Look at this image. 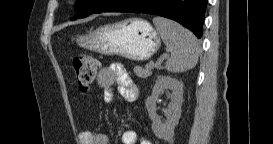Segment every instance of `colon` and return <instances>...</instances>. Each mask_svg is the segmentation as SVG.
I'll return each instance as SVG.
<instances>
[{"mask_svg": "<svg viewBox=\"0 0 273 144\" xmlns=\"http://www.w3.org/2000/svg\"><path fill=\"white\" fill-rule=\"evenodd\" d=\"M77 84L81 91L85 92L90 89L95 81L99 64L96 59L80 55L73 60Z\"/></svg>", "mask_w": 273, "mask_h": 144, "instance_id": "colon-1", "label": "colon"}]
</instances>
